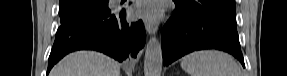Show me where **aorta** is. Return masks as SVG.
<instances>
[{"instance_id":"1","label":"aorta","mask_w":287,"mask_h":76,"mask_svg":"<svg viewBox=\"0 0 287 76\" xmlns=\"http://www.w3.org/2000/svg\"><path fill=\"white\" fill-rule=\"evenodd\" d=\"M162 48L159 40L154 36L150 37L144 57V75L161 76L162 72Z\"/></svg>"}]
</instances>
